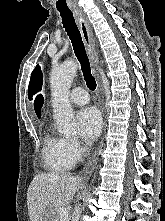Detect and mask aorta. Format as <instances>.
Instances as JSON below:
<instances>
[{"label": "aorta", "instance_id": "obj_1", "mask_svg": "<svg viewBox=\"0 0 165 221\" xmlns=\"http://www.w3.org/2000/svg\"><path fill=\"white\" fill-rule=\"evenodd\" d=\"M77 72L74 61H66L51 73L53 118L58 131L64 135H75L77 124L69 102V90Z\"/></svg>", "mask_w": 165, "mask_h": 221}]
</instances>
